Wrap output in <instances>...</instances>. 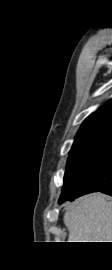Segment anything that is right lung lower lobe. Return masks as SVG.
Returning <instances> with one entry per match:
<instances>
[{"mask_svg": "<svg viewBox=\"0 0 112 270\" xmlns=\"http://www.w3.org/2000/svg\"><path fill=\"white\" fill-rule=\"evenodd\" d=\"M85 192H103L112 196V144L102 160L82 177Z\"/></svg>", "mask_w": 112, "mask_h": 270, "instance_id": "obj_1", "label": "right lung lower lobe"}]
</instances>
